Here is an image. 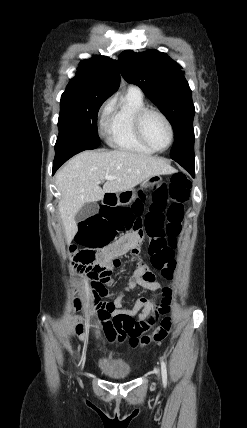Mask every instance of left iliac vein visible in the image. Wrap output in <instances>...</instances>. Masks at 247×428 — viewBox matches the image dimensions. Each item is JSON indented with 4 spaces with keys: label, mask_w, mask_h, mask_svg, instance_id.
<instances>
[{
    "label": "left iliac vein",
    "mask_w": 247,
    "mask_h": 428,
    "mask_svg": "<svg viewBox=\"0 0 247 428\" xmlns=\"http://www.w3.org/2000/svg\"><path fill=\"white\" fill-rule=\"evenodd\" d=\"M155 372H156V374L158 375V377H159V369L158 368H156L155 369Z\"/></svg>",
    "instance_id": "4c4485c4"
}]
</instances>
